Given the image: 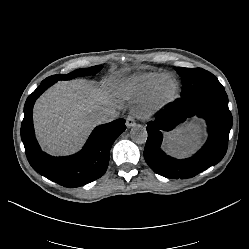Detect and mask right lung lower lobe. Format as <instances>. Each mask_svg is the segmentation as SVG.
<instances>
[{"label": "right lung lower lobe", "mask_w": 249, "mask_h": 249, "mask_svg": "<svg viewBox=\"0 0 249 249\" xmlns=\"http://www.w3.org/2000/svg\"><path fill=\"white\" fill-rule=\"evenodd\" d=\"M54 83V81H42L40 86L28 96L24 105L21 139L27 159L36 172L65 187L83 186L106 172L111 146L126 129L125 120L117 119L97 126L82 150L74 155L53 157L46 154L35 138L32 110L36 99Z\"/></svg>", "instance_id": "98d812e1"}]
</instances>
